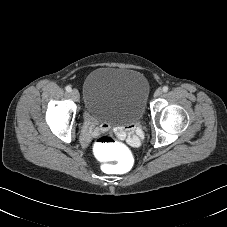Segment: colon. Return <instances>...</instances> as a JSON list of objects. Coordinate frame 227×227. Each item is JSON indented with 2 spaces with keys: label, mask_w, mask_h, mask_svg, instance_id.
Instances as JSON below:
<instances>
[{
  "label": "colon",
  "mask_w": 227,
  "mask_h": 227,
  "mask_svg": "<svg viewBox=\"0 0 227 227\" xmlns=\"http://www.w3.org/2000/svg\"><path fill=\"white\" fill-rule=\"evenodd\" d=\"M94 149L100 160L107 165H114L118 174H126L130 169L127 147L118 142L111 134H103L94 142Z\"/></svg>",
  "instance_id": "5ec220e1"
}]
</instances>
